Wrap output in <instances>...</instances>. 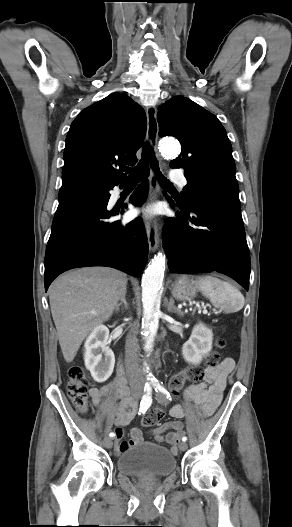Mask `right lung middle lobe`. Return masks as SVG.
I'll list each match as a JSON object with an SVG mask.
<instances>
[{
  "mask_svg": "<svg viewBox=\"0 0 292 527\" xmlns=\"http://www.w3.org/2000/svg\"><path fill=\"white\" fill-rule=\"evenodd\" d=\"M110 185H104L95 181L87 179H75L62 183L61 188L68 187H80V188H96V189H107Z\"/></svg>",
  "mask_w": 292,
  "mask_h": 527,
  "instance_id": "obj_1",
  "label": "right lung middle lobe"
}]
</instances>
